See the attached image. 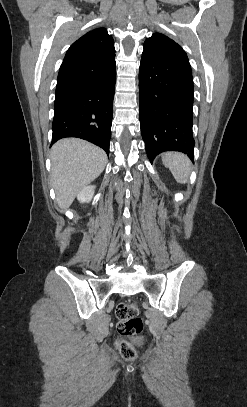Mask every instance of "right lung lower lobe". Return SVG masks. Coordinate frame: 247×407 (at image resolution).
Wrapping results in <instances>:
<instances>
[{"mask_svg":"<svg viewBox=\"0 0 247 407\" xmlns=\"http://www.w3.org/2000/svg\"><path fill=\"white\" fill-rule=\"evenodd\" d=\"M115 83L114 58L78 81L56 88L51 145L64 137H77L109 154Z\"/></svg>","mask_w":247,"mask_h":407,"instance_id":"98d812e1","label":"right lung lower lobe"}]
</instances>
